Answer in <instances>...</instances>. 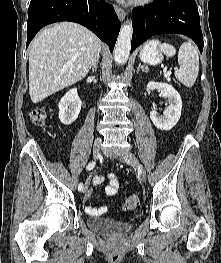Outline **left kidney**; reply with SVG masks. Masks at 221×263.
Masks as SVG:
<instances>
[{"mask_svg": "<svg viewBox=\"0 0 221 263\" xmlns=\"http://www.w3.org/2000/svg\"><path fill=\"white\" fill-rule=\"evenodd\" d=\"M147 89H158L160 95L169 102V106L167 110L164 111L163 116H158L154 110L150 112V118L153 124L160 130L172 129L181 116L182 100L180 94L170 84L154 81L147 84Z\"/></svg>", "mask_w": 221, "mask_h": 263, "instance_id": "5707ae66", "label": "left kidney"}]
</instances>
